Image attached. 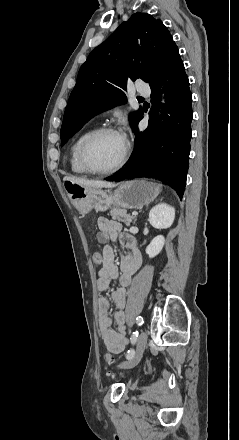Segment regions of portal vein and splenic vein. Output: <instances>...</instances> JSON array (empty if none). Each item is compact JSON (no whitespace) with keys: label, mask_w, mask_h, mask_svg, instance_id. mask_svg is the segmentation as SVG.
Wrapping results in <instances>:
<instances>
[{"label":"portal vein and splenic vein","mask_w":239,"mask_h":440,"mask_svg":"<svg viewBox=\"0 0 239 440\" xmlns=\"http://www.w3.org/2000/svg\"><path fill=\"white\" fill-rule=\"evenodd\" d=\"M132 216H137V212H135V210H132Z\"/></svg>","instance_id":"obj_1"}]
</instances>
